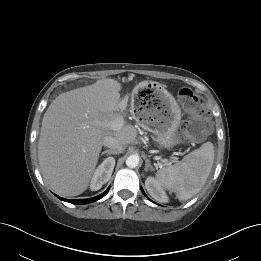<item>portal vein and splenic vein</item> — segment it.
Returning <instances> with one entry per match:
<instances>
[{"label": "portal vein and splenic vein", "mask_w": 261, "mask_h": 261, "mask_svg": "<svg viewBox=\"0 0 261 261\" xmlns=\"http://www.w3.org/2000/svg\"><path fill=\"white\" fill-rule=\"evenodd\" d=\"M119 108H120L121 110L124 109L122 103L119 104ZM122 126H123V121H121V120L112 121V122H110V123H108V124L106 125V127H107L109 130H112V131H119V130L122 128Z\"/></svg>", "instance_id": "obj_1"}]
</instances>
